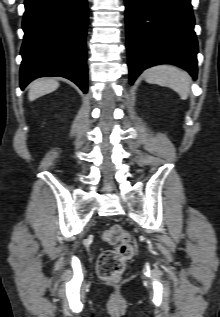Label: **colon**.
<instances>
[{
  "mask_svg": "<svg viewBox=\"0 0 220 317\" xmlns=\"http://www.w3.org/2000/svg\"><path fill=\"white\" fill-rule=\"evenodd\" d=\"M102 238L114 248L100 254L97 261V273L103 280L118 281L124 272L126 263L134 254L131 236L123 227L113 225L103 231Z\"/></svg>",
  "mask_w": 220,
  "mask_h": 317,
  "instance_id": "colon-1",
  "label": "colon"
}]
</instances>
